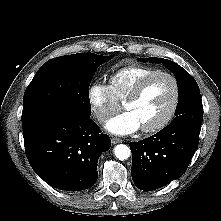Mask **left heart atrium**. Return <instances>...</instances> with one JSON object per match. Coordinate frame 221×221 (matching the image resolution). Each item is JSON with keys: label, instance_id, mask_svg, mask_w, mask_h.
Returning a JSON list of instances; mask_svg holds the SVG:
<instances>
[{"label": "left heart atrium", "instance_id": "1", "mask_svg": "<svg viewBox=\"0 0 221 221\" xmlns=\"http://www.w3.org/2000/svg\"><path fill=\"white\" fill-rule=\"evenodd\" d=\"M140 123L135 115L126 111L113 118L106 123V129L115 135H127L137 131L140 128Z\"/></svg>", "mask_w": 221, "mask_h": 221}]
</instances>
